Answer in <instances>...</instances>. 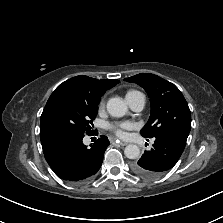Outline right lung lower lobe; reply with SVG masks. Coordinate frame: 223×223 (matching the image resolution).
<instances>
[{"label": "right lung lower lobe", "mask_w": 223, "mask_h": 223, "mask_svg": "<svg viewBox=\"0 0 223 223\" xmlns=\"http://www.w3.org/2000/svg\"><path fill=\"white\" fill-rule=\"evenodd\" d=\"M84 134L56 133L41 137L46 161L63 180L83 183L101 167L109 140L102 135L88 148L82 142Z\"/></svg>", "instance_id": "1"}]
</instances>
